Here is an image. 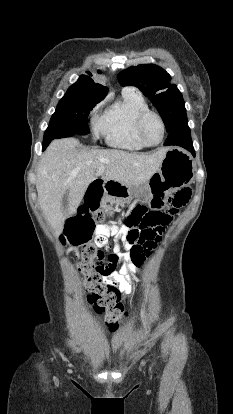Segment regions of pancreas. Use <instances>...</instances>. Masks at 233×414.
Returning a JSON list of instances; mask_svg holds the SVG:
<instances>
[{
    "instance_id": "obj_1",
    "label": "pancreas",
    "mask_w": 233,
    "mask_h": 414,
    "mask_svg": "<svg viewBox=\"0 0 233 414\" xmlns=\"http://www.w3.org/2000/svg\"><path fill=\"white\" fill-rule=\"evenodd\" d=\"M106 201H109L111 204H113V203L115 202V201H113L112 199H109V198H107V199H106ZM103 208H104V209H106V210H110V211H111V213H113V212H112V210H113V209H112V207H111V206L106 205V203H104V204H103Z\"/></svg>"
}]
</instances>
